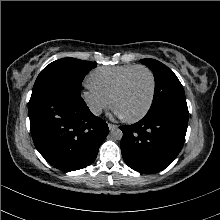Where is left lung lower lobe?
I'll list each match as a JSON object with an SVG mask.
<instances>
[{
  "label": "left lung lower lobe",
  "mask_w": 220,
  "mask_h": 220,
  "mask_svg": "<svg viewBox=\"0 0 220 220\" xmlns=\"http://www.w3.org/2000/svg\"><path fill=\"white\" fill-rule=\"evenodd\" d=\"M188 119L159 112L135 124L120 126L121 151L125 163L141 173H156L169 166L181 151Z\"/></svg>",
  "instance_id": "1"
}]
</instances>
